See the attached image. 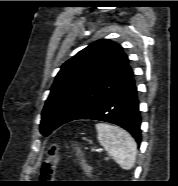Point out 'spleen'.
<instances>
[{
    "mask_svg": "<svg viewBox=\"0 0 178 186\" xmlns=\"http://www.w3.org/2000/svg\"><path fill=\"white\" fill-rule=\"evenodd\" d=\"M97 139L111 158L124 170L134 167L137 145L124 129L106 123H97Z\"/></svg>",
    "mask_w": 178,
    "mask_h": 186,
    "instance_id": "1",
    "label": "spleen"
}]
</instances>
